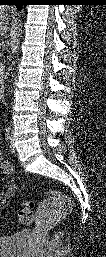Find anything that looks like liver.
<instances>
[{"label":"liver","mask_w":106,"mask_h":257,"mask_svg":"<svg viewBox=\"0 0 106 257\" xmlns=\"http://www.w3.org/2000/svg\"><path fill=\"white\" fill-rule=\"evenodd\" d=\"M7 7L0 8V31L1 35L7 32L8 27V14H7Z\"/></svg>","instance_id":"1"}]
</instances>
